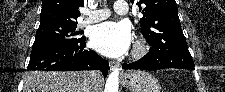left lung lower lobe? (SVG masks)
<instances>
[{"mask_svg":"<svg viewBox=\"0 0 225 92\" xmlns=\"http://www.w3.org/2000/svg\"><path fill=\"white\" fill-rule=\"evenodd\" d=\"M164 68L194 69V62L188 49L154 50L150 48L140 60L123 64V69L159 70Z\"/></svg>","mask_w":225,"mask_h":92,"instance_id":"obj_1","label":"left lung lower lobe"}]
</instances>
